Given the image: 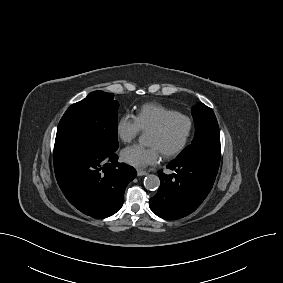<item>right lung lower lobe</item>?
<instances>
[{
  "label": "right lung lower lobe",
  "mask_w": 283,
  "mask_h": 283,
  "mask_svg": "<svg viewBox=\"0 0 283 283\" xmlns=\"http://www.w3.org/2000/svg\"><path fill=\"white\" fill-rule=\"evenodd\" d=\"M115 151L80 140L55 144L54 170L59 187L85 215L109 217L123 205L125 187L137 173L119 163Z\"/></svg>",
  "instance_id": "obj_1"
}]
</instances>
